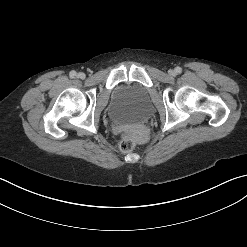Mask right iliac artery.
<instances>
[{
    "instance_id": "right-iliac-artery-1",
    "label": "right iliac artery",
    "mask_w": 247,
    "mask_h": 247,
    "mask_svg": "<svg viewBox=\"0 0 247 247\" xmlns=\"http://www.w3.org/2000/svg\"><path fill=\"white\" fill-rule=\"evenodd\" d=\"M75 76H76V72H75V71H71V72H70V77H71V78H74Z\"/></svg>"
}]
</instances>
